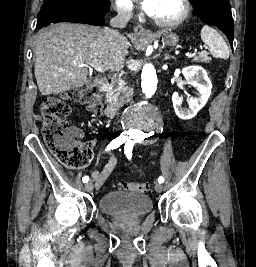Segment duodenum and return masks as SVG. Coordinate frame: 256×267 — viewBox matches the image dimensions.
I'll use <instances>...</instances> for the list:
<instances>
[{
    "label": "duodenum",
    "instance_id": "obj_1",
    "mask_svg": "<svg viewBox=\"0 0 256 267\" xmlns=\"http://www.w3.org/2000/svg\"><path fill=\"white\" fill-rule=\"evenodd\" d=\"M95 88L106 97V105L104 108V116L107 118H113L116 116L122 108L125 106V100L118 101L108 95L109 81L106 77H97L93 81Z\"/></svg>",
    "mask_w": 256,
    "mask_h": 267
}]
</instances>
